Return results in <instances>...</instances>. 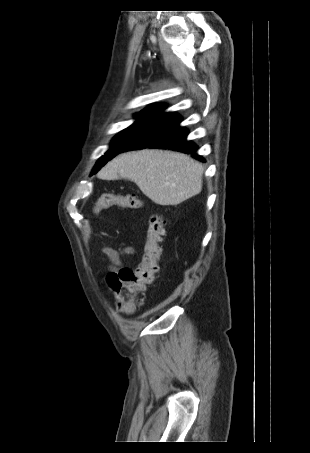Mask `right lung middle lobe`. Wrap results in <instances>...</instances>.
I'll list each match as a JSON object with an SVG mask.
<instances>
[{"mask_svg": "<svg viewBox=\"0 0 310 453\" xmlns=\"http://www.w3.org/2000/svg\"><path fill=\"white\" fill-rule=\"evenodd\" d=\"M156 118H140L130 127L117 134L111 142L110 149L96 163L92 174L96 173L109 160L119 154L133 139L149 127Z\"/></svg>", "mask_w": 310, "mask_h": 453, "instance_id": "right-lung-middle-lobe-1", "label": "right lung middle lobe"}]
</instances>
